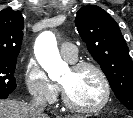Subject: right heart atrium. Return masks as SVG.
I'll use <instances>...</instances> for the list:
<instances>
[{"mask_svg":"<svg viewBox=\"0 0 133 118\" xmlns=\"http://www.w3.org/2000/svg\"><path fill=\"white\" fill-rule=\"evenodd\" d=\"M25 83L31 96L45 102L54 101L59 94V86L35 60H30L26 65Z\"/></svg>","mask_w":133,"mask_h":118,"instance_id":"d8ad5b80","label":"right heart atrium"}]
</instances>
